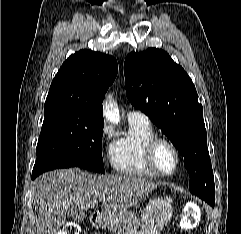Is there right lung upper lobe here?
I'll use <instances>...</instances> for the list:
<instances>
[{"mask_svg": "<svg viewBox=\"0 0 241 234\" xmlns=\"http://www.w3.org/2000/svg\"><path fill=\"white\" fill-rule=\"evenodd\" d=\"M117 71L118 64L112 56L91 50L76 52L54 77L45 109H70L85 120L104 122L101 104Z\"/></svg>", "mask_w": 241, "mask_h": 234, "instance_id": "1", "label": "right lung upper lobe"}]
</instances>
